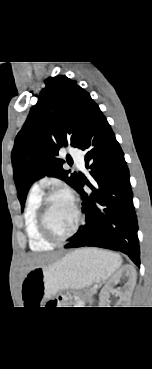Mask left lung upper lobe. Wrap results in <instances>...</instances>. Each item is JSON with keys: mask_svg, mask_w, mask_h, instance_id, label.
<instances>
[{"mask_svg": "<svg viewBox=\"0 0 152 369\" xmlns=\"http://www.w3.org/2000/svg\"><path fill=\"white\" fill-rule=\"evenodd\" d=\"M37 104L17 134L12 164L21 210L33 182L47 176L64 180L75 188L77 173L64 170L57 157L62 146L79 147L98 105L89 93L65 75L45 80Z\"/></svg>", "mask_w": 152, "mask_h": 369, "instance_id": "left-lung-upper-lobe-1", "label": "left lung upper lobe"}]
</instances>
